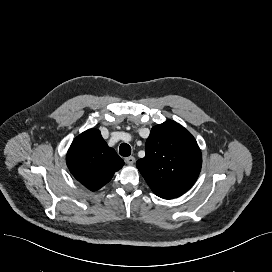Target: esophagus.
Wrapping results in <instances>:
<instances>
[{
    "label": "esophagus",
    "instance_id": "34e87169",
    "mask_svg": "<svg viewBox=\"0 0 272 272\" xmlns=\"http://www.w3.org/2000/svg\"><path fill=\"white\" fill-rule=\"evenodd\" d=\"M125 162L129 165H132L135 162V158L133 156L125 158Z\"/></svg>",
    "mask_w": 272,
    "mask_h": 272
}]
</instances>
